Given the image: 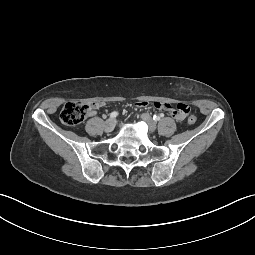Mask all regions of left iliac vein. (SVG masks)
<instances>
[{
	"label": "left iliac vein",
	"instance_id": "1",
	"mask_svg": "<svg viewBox=\"0 0 255 255\" xmlns=\"http://www.w3.org/2000/svg\"><path fill=\"white\" fill-rule=\"evenodd\" d=\"M141 118L148 124L151 132H154L156 129V123L153 121L151 116L148 113H144L141 115Z\"/></svg>",
	"mask_w": 255,
	"mask_h": 255
}]
</instances>
